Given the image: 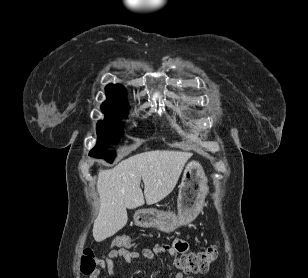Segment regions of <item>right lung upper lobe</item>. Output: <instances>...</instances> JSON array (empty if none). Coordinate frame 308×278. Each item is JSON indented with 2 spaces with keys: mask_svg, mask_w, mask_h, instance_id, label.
Masks as SVG:
<instances>
[{
  "mask_svg": "<svg viewBox=\"0 0 308 278\" xmlns=\"http://www.w3.org/2000/svg\"><path fill=\"white\" fill-rule=\"evenodd\" d=\"M106 95L108 100L101 105V109L107 118L114 119L116 117L125 116L128 104L123 86L119 84H109L106 87Z\"/></svg>",
  "mask_w": 308,
  "mask_h": 278,
  "instance_id": "right-lung-upper-lobe-1",
  "label": "right lung upper lobe"
}]
</instances>
